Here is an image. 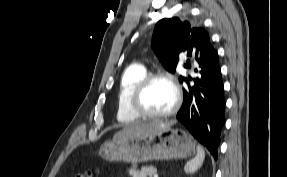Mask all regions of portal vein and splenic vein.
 I'll list each match as a JSON object with an SVG mask.
<instances>
[{
  "label": "portal vein and splenic vein",
  "mask_w": 287,
  "mask_h": 177,
  "mask_svg": "<svg viewBox=\"0 0 287 177\" xmlns=\"http://www.w3.org/2000/svg\"><path fill=\"white\" fill-rule=\"evenodd\" d=\"M152 176H153V177H157V175H155V174H153Z\"/></svg>",
  "instance_id": "1"
}]
</instances>
